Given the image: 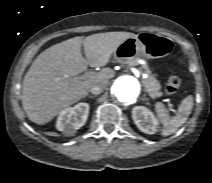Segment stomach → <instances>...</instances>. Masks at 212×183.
Wrapping results in <instances>:
<instances>
[{
	"label": "stomach",
	"mask_w": 212,
	"mask_h": 183,
	"mask_svg": "<svg viewBox=\"0 0 212 183\" xmlns=\"http://www.w3.org/2000/svg\"><path fill=\"white\" fill-rule=\"evenodd\" d=\"M175 44L170 37L153 32H141L126 39L114 52V58L120 63H127L136 56L147 59L163 58L171 54Z\"/></svg>",
	"instance_id": "stomach-1"
}]
</instances>
